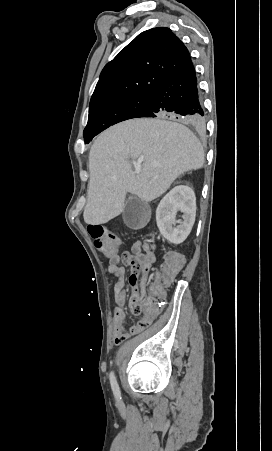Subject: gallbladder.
<instances>
[{
    "label": "gallbladder",
    "mask_w": 272,
    "mask_h": 451,
    "mask_svg": "<svg viewBox=\"0 0 272 451\" xmlns=\"http://www.w3.org/2000/svg\"><path fill=\"white\" fill-rule=\"evenodd\" d=\"M124 224L132 229H139V227L146 226L149 222V204L142 202L136 196L128 198L125 208L122 212Z\"/></svg>",
    "instance_id": "obj_1"
}]
</instances>
